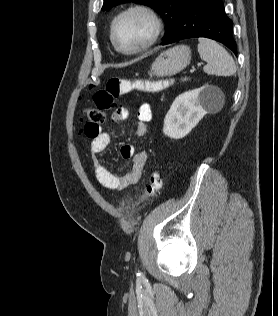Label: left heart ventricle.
Masks as SVG:
<instances>
[{"mask_svg":"<svg viewBox=\"0 0 278 316\" xmlns=\"http://www.w3.org/2000/svg\"><path fill=\"white\" fill-rule=\"evenodd\" d=\"M151 32L149 20L141 14L121 19L115 29L116 41L124 49H132L144 42Z\"/></svg>","mask_w":278,"mask_h":316,"instance_id":"b2bd125f","label":"left heart ventricle"}]
</instances>
